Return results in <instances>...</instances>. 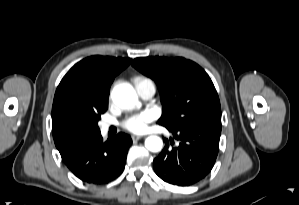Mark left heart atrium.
<instances>
[{
	"label": "left heart atrium",
	"instance_id": "39dd6f15",
	"mask_svg": "<svg viewBox=\"0 0 299 205\" xmlns=\"http://www.w3.org/2000/svg\"><path fill=\"white\" fill-rule=\"evenodd\" d=\"M153 120V114L149 111H144L139 114L128 117L122 126L131 132L141 133L145 130L147 123Z\"/></svg>",
	"mask_w": 299,
	"mask_h": 205
}]
</instances>
